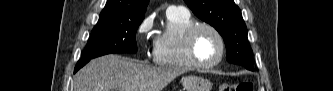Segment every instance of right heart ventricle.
I'll list each match as a JSON object with an SVG mask.
<instances>
[{
	"mask_svg": "<svg viewBox=\"0 0 333 91\" xmlns=\"http://www.w3.org/2000/svg\"><path fill=\"white\" fill-rule=\"evenodd\" d=\"M194 24L189 12H167L164 31L158 34L154 41L155 64L180 71L196 69L187 56L185 46L186 32Z\"/></svg>",
	"mask_w": 333,
	"mask_h": 91,
	"instance_id": "obj_1",
	"label": "right heart ventricle"
}]
</instances>
